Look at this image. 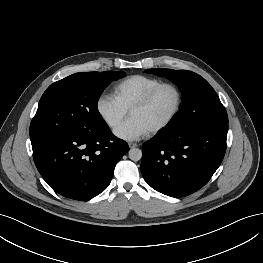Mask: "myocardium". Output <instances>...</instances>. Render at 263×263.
<instances>
[{"label": "myocardium", "mask_w": 263, "mask_h": 263, "mask_svg": "<svg viewBox=\"0 0 263 263\" xmlns=\"http://www.w3.org/2000/svg\"><path fill=\"white\" fill-rule=\"evenodd\" d=\"M165 87H169V88L174 90V92L176 94V104H175V107H174L173 111L171 112V114L163 122H161L160 124H158L153 129L150 130L149 133H151V134L159 133L160 131L167 128L175 120V118L179 114V112L182 108V104H183V92H182L181 88L173 82H161L158 85H156L155 87H153L151 90H149L140 100H138L129 109V114H130L134 110L142 109V108L146 107L151 102V100L155 97V95L161 89H163Z\"/></svg>", "instance_id": "obj_1"}]
</instances>
